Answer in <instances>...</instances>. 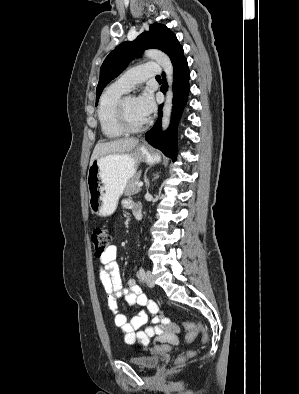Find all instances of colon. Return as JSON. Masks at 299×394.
<instances>
[{"instance_id": "1", "label": "colon", "mask_w": 299, "mask_h": 394, "mask_svg": "<svg viewBox=\"0 0 299 394\" xmlns=\"http://www.w3.org/2000/svg\"><path fill=\"white\" fill-rule=\"evenodd\" d=\"M90 239L93 245L94 252L97 256L103 255L106 253L111 243V236L108 230L104 227L95 226L91 229ZM185 330L187 331L185 340L186 342H192L196 336L201 333L202 334V343L207 344L209 341L208 331L199 324H193L190 322H185L183 324ZM194 356L193 351L187 352L185 355L179 357V362H183L189 358Z\"/></svg>"}]
</instances>
